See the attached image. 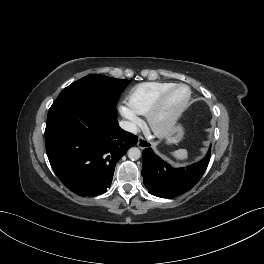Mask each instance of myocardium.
Instances as JSON below:
<instances>
[{"instance_id":"f54148a6","label":"myocardium","mask_w":264,"mask_h":264,"mask_svg":"<svg viewBox=\"0 0 264 264\" xmlns=\"http://www.w3.org/2000/svg\"><path fill=\"white\" fill-rule=\"evenodd\" d=\"M181 87L186 88L188 91V95L185 101L171 116H169L164 121H160L159 116L163 110V107L165 105V102L168 96L170 95L172 91H174L177 88H181ZM191 96H192V92H191L190 87L182 83L173 84L169 86L168 88H166L164 91H162L146 114L147 122H148L150 129L156 135H160V136L166 135L170 131H172L173 128L178 123L179 119L181 118L183 112L187 108L190 102Z\"/></svg>"}]
</instances>
